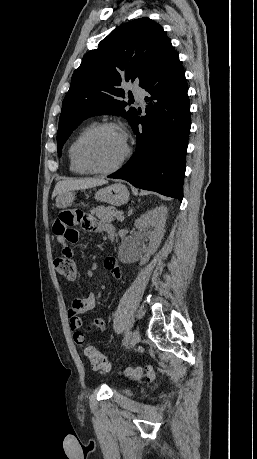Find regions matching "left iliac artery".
<instances>
[{
  "instance_id": "1",
  "label": "left iliac artery",
  "mask_w": 257,
  "mask_h": 459,
  "mask_svg": "<svg viewBox=\"0 0 257 459\" xmlns=\"http://www.w3.org/2000/svg\"><path fill=\"white\" fill-rule=\"evenodd\" d=\"M129 339H130V333L127 332L126 335H125V337H124V340H123V345H124L125 343H127V342L129 341Z\"/></svg>"
}]
</instances>
